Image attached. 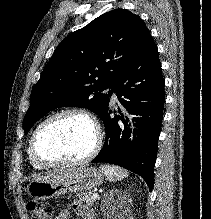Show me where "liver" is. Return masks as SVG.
Instances as JSON below:
<instances>
[{
  "label": "liver",
  "mask_w": 211,
  "mask_h": 219,
  "mask_svg": "<svg viewBox=\"0 0 211 219\" xmlns=\"http://www.w3.org/2000/svg\"><path fill=\"white\" fill-rule=\"evenodd\" d=\"M71 172H72V169L53 171V172H49L45 176L37 177L34 181L49 182V181L64 178L68 176Z\"/></svg>",
  "instance_id": "liver-1"
}]
</instances>
